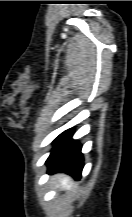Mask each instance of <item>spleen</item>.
<instances>
[{
  "mask_svg": "<svg viewBox=\"0 0 132 217\" xmlns=\"http://www.w3.org/2000/svg\"><path fill=\"white\" fill-rule=\"evenodd\" d=\"M59 187L64 190H70L73 186V183L70 178L64 176L59 179Z\"/></svg>",
  "mask_w": 132,
  "mask_h": 217,
  "instance_id": "1",
  "label": "spleen"
}]
</instances>
